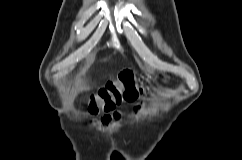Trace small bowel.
<instances>
[{
  "label": "small bowel",
  "mask_w": 242,
  "mask_h": 160,
  "mask_svg": "<svg viewBox=\"0 0 242 160\" xmlns=\"http://www.w3.org/2000/svg\"><path fill=\"white\" fill-rule=\"evenodd\" d=\"M114 117H116V116H114ZM110 120H111V118L109 117V118L105 119L104 122L108 123Z\"/></svg>",
  "instance_id": "1"
}]
</instances>
